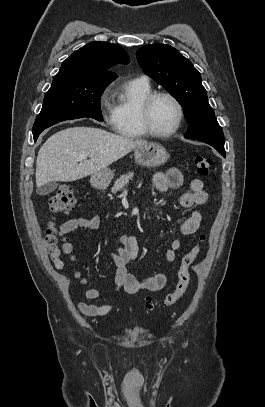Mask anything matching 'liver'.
Wrapping results in <instances>:
<instances>
[{"instance_id":"6515ba94","label":"liver","mask_w":265,"mask_h":407,"mask_svg":"<svg viewBox=\"0 0 265 407\" xmlns=\"http://www.w3.org/2000/svg\"><path fill=\"white\" fill-rule=\"evenodd\" d=\"M147 143L93 127H72L47 139L36 160V185L51 181L71 182L101 171ZM88 160L80 159L81 155Z\"/></svg>"}]
</instances>
